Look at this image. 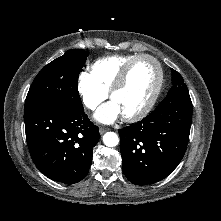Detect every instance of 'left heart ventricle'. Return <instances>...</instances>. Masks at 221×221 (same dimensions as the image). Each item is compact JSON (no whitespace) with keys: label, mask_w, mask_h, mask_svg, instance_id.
Here are the masks:
<instances>
[{"label":"left heart ventricle","mask_w":221,"mask_h":221,"mask_svg":"<svg viewBox=\"0 0 221 221\" xmlns=\"http://www.w3.org/2000/svg\"><path fill=\"white\" fill-rule=\"evenodd\" d=\"M157 80L155 64L146 59L138 61L132 67L124 86L112 97L122 115L134 114L142 109L152 95Z\"/></svg>","instance_id":"b2bd125f"}]
</instances>
